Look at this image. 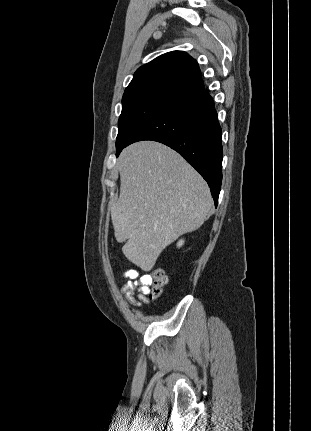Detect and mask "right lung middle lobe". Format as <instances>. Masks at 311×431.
Here are the masks:
<instances>
[{"label": "right lung middle lobe", "mask_w": 311, "mask_h": 431, "mask_svg": "<svg viewBox=\"0 0 311 431\" xmlns=\"http://www.w3.org/2000/svg\"><path fill=\"white\" fill-rule=\"evenodd\" d=\"M180 96L159 89H140L123 94L116 139V156L125 148L132 134L161 109Z\"/></svg>", "instance_id": "1"}]
</instances>
